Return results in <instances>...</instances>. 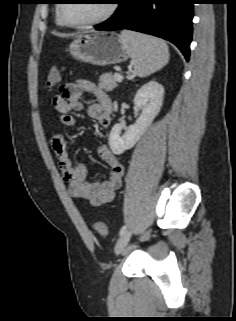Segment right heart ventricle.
<instances>
[{"label":"right heart ventricle","mask_w":236,"mask_h":321,"mask_svg":"<svg viewBox=\"0 0 236 321\" xmlns=\"http://www.w3.org/2000/svg\"><path fill=\"white\" fill-rule=\"evenodd\" d=\"M56 23L58 26H64V24L62 23V21L60 20L58 14L56 15Z\"/></svg>","instance_id":"right-heart-ventricle-1"}]
</instances>
